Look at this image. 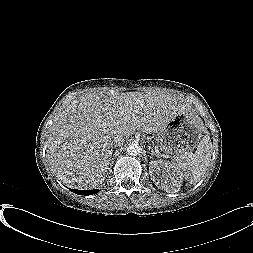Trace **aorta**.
Here are the masks:
<instances>
[{
    "instance_id": "aorta-1",
    "label": "aorta",
    "mask_w": 253,
    "mask_h": 253,
    "mask_svg": "<svg viewBox=\"0 0 253 253\" xmlns=\"http://www.w3.org/2000/svg\"><path fill=\"white\" fill-rule=\"evenodd\" d=\"M127 153L130 156H137L141 153V148L137 143H131L128 147H127Z\"/></svg>"
}]
</instances>
